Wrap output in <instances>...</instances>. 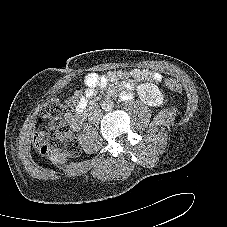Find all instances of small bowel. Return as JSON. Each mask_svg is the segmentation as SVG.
Masks as SVG:
<instances>
[{
  "label": "small bowel",
  "instance_id": "obj_1",
  "mask_svg": "<svg viewBox=\"0 0 227 227\" xmlns=\"http://www.w3.org/2000/svg\"><path fill=\"white\" fill-rule=\"evenodd\" d=\"M126 77H131L133 80L124 81L118 88H111L109 92L114 95L117 91H120L122 97L128 98L131 95V91L135 88L136 81L148 80L152 82H159L161 80V74L159 72L147 69H133L130 71L118 70L102 74L97 72H88L84 77L86 88L83 95L76 103L74 114L68 116V120L72 126L74 128L79 127L78 117L85 110L88 101L95 97L97 88L106 87L110 83Z\"/></svg>",
  "mask_w": 227,
  "mask_h": 227
}]
</instances>
